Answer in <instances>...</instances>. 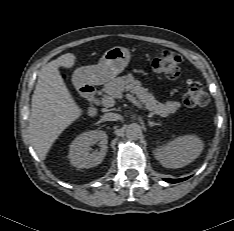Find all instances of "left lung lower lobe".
I'll use <instances>...</instances> for the list:
<instances>
[{
  "mask_svg": "<svg viewBox=\"0 0 234 231\" xmlns=\"http://www.w3.org/2000/svg\"><path fill=\"white\" fill-rule=\"evenodd\" d=\"M186 179L187 178H182V179H167V178H165L164 180L167 181V182H171V183H177V182L184 181Z\"/></svg>",
  "mask_w": 234,
  "mask_h": 231,
  "instance_id": "obj_1",
  "label": "left lung lower lobe"
}]
</instances>
